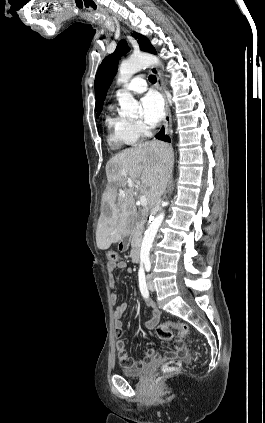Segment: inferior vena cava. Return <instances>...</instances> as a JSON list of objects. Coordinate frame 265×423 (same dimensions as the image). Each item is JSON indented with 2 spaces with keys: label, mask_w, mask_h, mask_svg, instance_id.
Here are the masks:
<instances>
[{
  "label": "inferior vena cava",
  "mask_w": 265,
  "mask_h": 423,
  "mask_svg": "<svg viewBox=\"0 0 265 423\" xmlns=\"http://www.w3.org/2000/svg\"><path fill=\"white\" fill-rule=\"evenodd\" d=\"M159 204H160V200L158 201L157 205H159Z\"/></svg>",
  "instance_id": "inferior-vena-cava-1"
}]
</instances>
